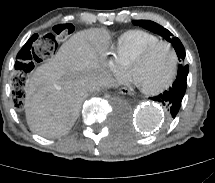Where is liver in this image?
Returning a JSON list of instances; mask_svg holds the SVG:
<instances>
[{
    "mask_svg": "<svg viewBox=\"0 0 215 183\" xmlns=\"http://www.w3.org/2000/svg\"><path fill=\"white\" fill-rule=\"evenodd\" d=\"M109 40L104 29L77 32L34 71L25 85L26 120L32 132L54 138L71 130L90 93L86 84L105 74Z\"/></svg>",
    "mask_w": 215,
    "mask_h": 183,
    "instance_id": "liver-1",
    "label": "liver"
}]
</instances>
